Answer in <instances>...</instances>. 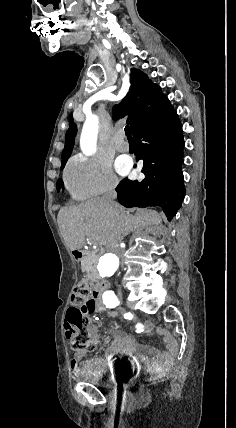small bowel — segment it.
Returning a JSON list of instances; mask_svg holds the SVG:
<instances>
[{"instance_id":"obj_1","label":"small bowel","mask_w":236,"mask_h":428,"mask_svg":"<svg viewBox=\"0 0 236 428\" xmlns=\"http://www.w3.org/2000/svg\"><path fill=\"white\" fill-rule=\"evenodd\" d=\"M100 310L107 312L111 317L117 314L108 311L103 305H100ZM135 329L137 332L152 334L154 326L149 323H136ZM157 334L161 337L165 344V350L160 352L156 349L137 343L131 336L120 330H112L114 340L111 345L105 350L104 361H112L116 356L128 355L132 358V362L136 366H145L151 371H161L177 353V344L170 336L167 330L158 327ZM84 353L79 352L75 355L71 362V368L74 373H78L84 366L96 364L97 361H84Z\"/></svg>"}]
</instances>
